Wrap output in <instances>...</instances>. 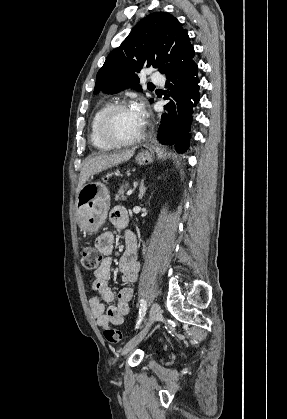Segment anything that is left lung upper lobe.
Segmentation results:
<instances>
[{"mask_svg":"<svg viewBox=\"0 0 287 419\" xmlns=\"http://www.w3.org/2000/svg\"><path fill=\"white\" fill-rule=\"evenodd\" d=\"M194 55L189 36L178 20L166 12L152 13L108 55L97 73L94 94H112L131 87L142 91L137 73L144 66L168 76L184 68Z\"/></svg>","mask_w":287,"mask_h":419,"instance_id":"obj_1","label":"left lung upper lobe"}]
</instances>
